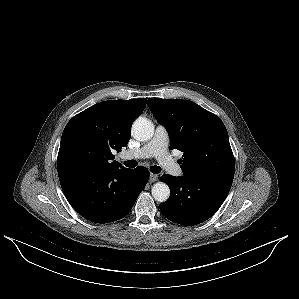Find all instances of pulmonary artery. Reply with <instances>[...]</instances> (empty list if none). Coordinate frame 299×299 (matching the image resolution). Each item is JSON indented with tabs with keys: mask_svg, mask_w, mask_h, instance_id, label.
Returning <instances> with one entry per match:
<instances>
[{
	"mask_svg": "<svg viewBox=\"0 0 299 299\" xmlns=\"http://www.w3.org/2000/svg\"><path fill=\"white\" fill-rule=\"evenodd\" d=\"M168 146L169 134L164 126L158 125L151 140L138 149L126 151L124 157L134 159L155 157L163 169L174 176H181L183 171L169 155Z\"/></svg>",
	"mask_w": 299,
	"mask_h": 299,
	"instance_id": "obj_1",
	"label": "pulmonary artery"
}]
</instances>
